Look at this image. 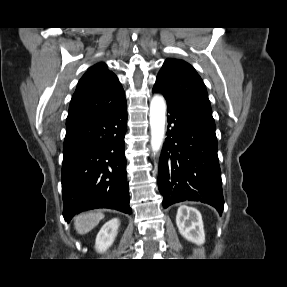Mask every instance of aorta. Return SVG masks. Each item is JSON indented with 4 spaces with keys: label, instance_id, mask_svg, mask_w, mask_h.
Here are the masks:
<instances>
[{
    "label": "aorta",
    "instance_id": "1",
    "mask_svg": "<svg viewBox=\"0 0 287 287\" xmlns=\"http://www.w3.org/2000/svg\"><path fill=\"white\" fill-rule=\"evenodd\" d=\"M166 103L161 95H155L150 103L151 147L156 153L163 145L165 134Z\"/></svg>",
    "mask_w": 287,
    "mask_h": 287
}]
</instances>
